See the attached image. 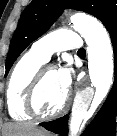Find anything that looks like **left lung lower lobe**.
I'll return each instance as SVG.
<instances>
[{
  "mask_svg": "<svg viewBox=\"0 0 117 136\" xmlns=\"http://www.w3.org/2000/svg\"><path fill=\"white\" fill-rule=\"evenodd\" d=\"M105 27L110 33L114 49V84L103 106L81 136L115 135V116L117 114V14L107 22ZM67 124L68 116L66 115L58 120L41 123L40 125L61 136H67Z\"/></svg>",
  "mask_w": 117,
  "mask_h": 136,
  "instance_id": "0a47b994",
  "label": "left lung lower lobe"
}]
</instances>
